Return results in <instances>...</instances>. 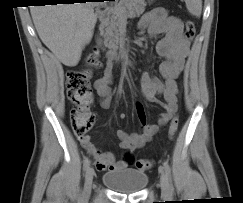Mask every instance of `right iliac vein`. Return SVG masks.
<instances>
[{
	"label": "right iliac vein",
	"mask_w": 243,
	"mask_h": 203,
	"mask_svg": "<svg viewBox=\"0 0 243 203\" xmlns=\"http://www.w3.org/2000/svg\"><path fill=\"white\" fill-rule=\"evenodd\" d=\"M94 171L92 168H88L85 175L84 195L89 196L91 193L93 183Z\"/></svg>",
	"instance_id": "1"
}]
</instances>
